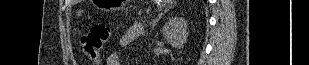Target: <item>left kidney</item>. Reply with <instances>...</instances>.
I'll return each instance as SVG.
<instances>
[{
	"instance_id": "obj_1",
	"label": "left kidney",
	"mask_w": 309,
	"mask_h": 65,
	"mask_svg": "<svg viewBox=\"0 0 309 65\" xmlns=\"http://www.w3.org/2000/svg\"><path fill=\"white\" fill-rule=\"evenodd\" d=\"M163 37L173 47H181L187 42V21L182 17H174L165 23L162 29Z\"/></svg>"
}]
</instances>
